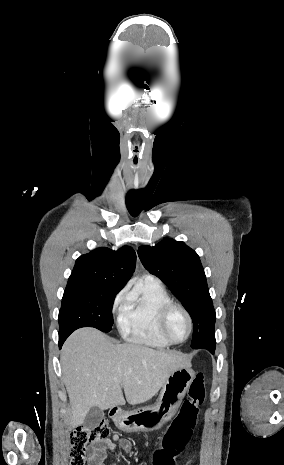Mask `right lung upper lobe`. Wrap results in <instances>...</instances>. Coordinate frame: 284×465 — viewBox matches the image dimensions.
Wrapping results in <instances>:
<instances>
[{"label": "right lung upper lobe", "mask_w": 284, "mask_h": 465, "mask_svg": "<svg viewBox=\"0 0 284 465\" xmlns=\"http://www.w3.org/2000/svg\"><path fill=\"white\" fill-rule=\"evenodd\" d=\"M135 263L136 254L129 246L117 251L98 248L76 260L68 281L95 282L120 291L131 278Z\"/></svg>", "instance_id": "right-lung-upper-lobe-1"}]
</instances>
